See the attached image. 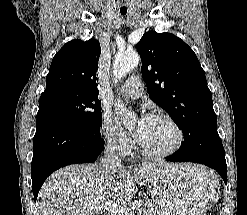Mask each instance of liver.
<instances>
[{
	"mask_svg": "<svg viewBox=\"0 0 247 215\" xmlns=\"http://www.w3.org/2000/svg\"><path fill=\"white\" fill-rule=\"evenodd\" d=\"M174 164L148 162L128 171L118 167L108 173L100 164L70 165L53 173L39 192L40 215H96L101 201L125 205L137 190L152 182L159 170ZM188 170H195L188 164Z\"/></svg>",
	"mask_w": 247,
	"mask_h": 215,
	"instance_id": "1",
	"label": "liver"
}]
</instances>
